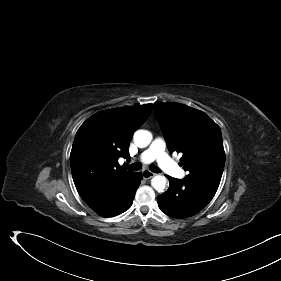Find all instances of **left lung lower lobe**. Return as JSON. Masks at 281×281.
Returning a JSON list of instances; mask_svg holds the SVG:
<instances>
[{
    "mask_svg": "<svg viewBox=\"0 0 281 281\" xmlns=\"http://www.w3.org/2000/svg\"><path fill=\"white\" fill-rule=\"evenodd\" d=\"M169 189L158 196L160 210L174 218H188L201 211L214 197L217 189L198 179L183 180L167 176Z\"/></svg>",
    "mask_w": 281,
    "mask_h": 281,
    "instance_id": "1",
    "label": "left lung lower lobe"
}]
</instances>
